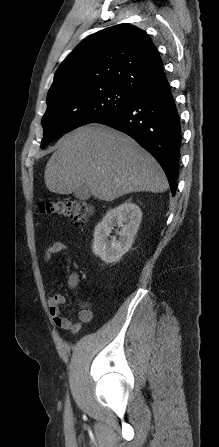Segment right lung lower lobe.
Instances as JSON below:
<instances>
[{
	"label": "right lung lower lobe",
	"instance_id": "right-lung-lower-lobe-1",
	"mask_svg": "<svg viewBox=\"0 0 219 447\" xmlns=\"http://www.w3.org/2000/svg\"><path fill=\"white\" fill-rule=\"evenodd\" d=\"M94 123L128 134L150 152L163 168L172 195H175L182 131L180 115L167 80Z\"/></svg>",
	"mask_w": 219,
	"mask_h": 447
}]
</instances>
